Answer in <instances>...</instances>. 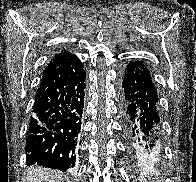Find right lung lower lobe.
Instances as JSON below:
<instances>
[{
  "mask_svg": "<svg viewBox=\"0 0 196 182\" xmlns=\"http://www.w3.org/2000/svg\"><path fill=\"white\" fill-rule=\"evenodd\" d=\"M84 89L85 71L76 56L41 79L27 131V165L61 171L74 167Z\"/></svg>",
  "mask_w": 196,
  "mask_h": 182,
  "instance_id": "obj_1",
  "label": "right lung lower lobe"
}]
</instances>
